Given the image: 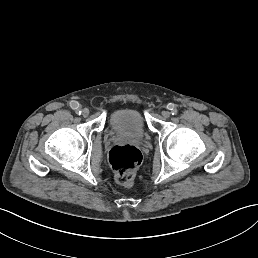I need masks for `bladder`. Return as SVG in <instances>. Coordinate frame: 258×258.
Returning a JSON list of instances; mask_svg holds the SVG:
<instances>
[{
    "mask_svg": "<svg viewBox=\"0 0 258 258\" xmlns=\"http://www.w3.org/2000/svg\"><path fill=\"white\" fill-rule=\"evenodd\" d=\"M112 129L123 136L140 138L146 133V123L143 115L133 109L119 110L110 119Z\"/></svg>",
    "mask_w": 258,
    "mask_h": 258,
    "instance_id": "bladder-1",
    "label": "bladder"
}]
</instances>
